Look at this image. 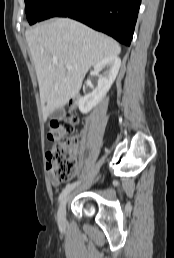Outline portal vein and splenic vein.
Wrapping results in <instances>:
<instances>
[{
	"label": "portal vein and splenic vein",
	"instance_id": "portal-vein-and-splenic-vein-1",
	"mask_svg": "<svg viewBox=\"0 0 174 258\" xmlns=\"http://www.w3.org/2000/svg\"><path fill=\"white\" fill-rule=\"evenodd\" d=\"M53 60H54V61H57V57H54ZM66 68H67L68 70H71L73 67H72L71 65H66Z\"/></svg>",
	"mask_w": 174,
	"mask_h": 258
}]
</instances>
